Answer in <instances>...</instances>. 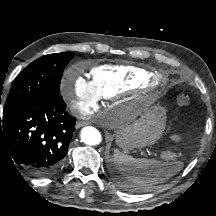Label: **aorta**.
<instances>
[{
  "instance_id": "aorta-1",
  "label": "aorta",
  "mask_w": 216,
  "mask_h": 216,
  "mask_svg": "<svg viewBox=\"0 0 216 216\" xmlns=\"http://www.w3.org/2000/svg\"><path fill=\"white\" fill-rule=\"evenodd\" d=\"M82 142L88 145H98L102 141L100 132L94 127H84L80 134Z\"/></svg>"
}]
</instances>
